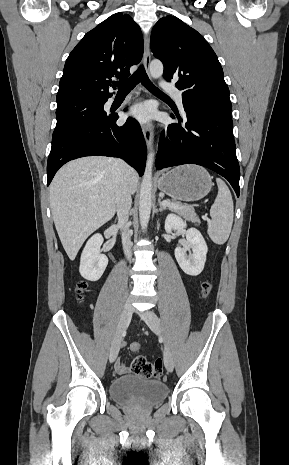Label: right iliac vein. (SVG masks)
<instances>
[{
    "label": "right iliac vein",
    "instance_id": "obj_1",
    "mask_svg": "<svg viewBox=\"0 0 289 465\" xmlns=\"http://www.w3.org/2000/svg\"><path fill=\"white\" fill-rule=\"evenodd\" d=\"M132 313H133L132 305L130 303H126L122 311L120 321L118 324V329H117L116 335L114 337V340L112 342V346L110 349V354H109L110 362H114L118 355L120 344H121L123 335L130 323Z\"/></svg>",
    "mask_w": 289,
    "mask_h": 465
}]
</instances>
